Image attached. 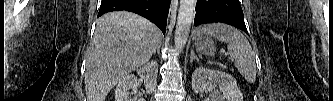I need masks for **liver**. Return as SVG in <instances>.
<instances>
[{
  "label": "liver",
  "mask_w": 333,
  "mask_h": 101,
  "mask_svg": "<svg viewBox=\"0 0 333 101\" xmlns=\"http://www.w3.org/2000/svg\"><path fill=\"white\" fill-rule=\"evenodd\" d=\"M161 43L158 27L135 13L115 11L100 17L87 53V101H105L110 90L147 63Z\"/></svg>",
  "instance_id": "1"
}]
</instances>
